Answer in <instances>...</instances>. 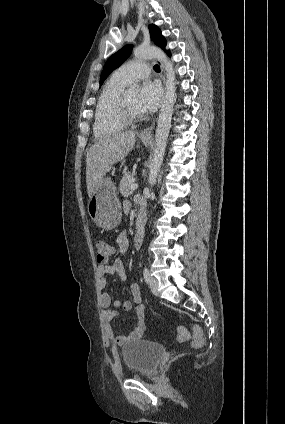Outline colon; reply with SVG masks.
I'll use <instances>...</instances> for the list:
<instances>
[{"mask_svg": "<svg viewBox=\"0 0 285 424\" xmlns=\"http://www.w3.org/2000/svg\"><path fill=\"white\" fill-rule=\"evenodd\" d=\"M95 252L98 262L105 263L108 261L110 256L114 252V248L111 244L103 241V240H97L95 242ZM178 338L180 340H186L189 338L188 332L184 328L178 329ZM193 344L195 347H202L204 344V331L199 325H195L193 327Z\"/></svg>", "mask_w": 285, "mask_h": 424, "instance_id": "5ec220e1", "label": "colon"}]
</instances>
